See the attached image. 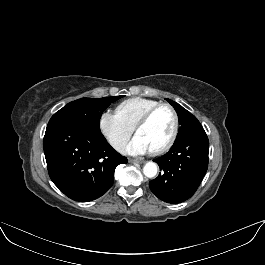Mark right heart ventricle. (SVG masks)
<instances>
[{
	"instance_id": "e07e8e85",
	"label": "right heart ventricle",
	"mask_w": 265,
	"mask_h": 265,
	"mask_svg": "<svg viewBox=\"0 0 265 265\" xmlns=\"http://www.w3.org/2000/svg\"><path fill=\"white\" fill-rule=\"evenodd\" d=\"M161 104L159 101L143 97H135L120 102L115 113L130 127H134L138 119L152 107Z\"/></svg>"
}]
</instances>
